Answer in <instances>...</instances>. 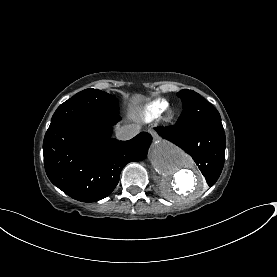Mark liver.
<instances>
[{"mask_svg": "<svg viewBox=\"0 0 277 277\" xmlns=\"http://www.w3.org/2000/svg\"><path fill=\"white\" fill-rule=\"evenodd\" d=\"M145 100V97L140 95V94H136L132 97L130 104L128 105L129 107V116L130 118H132L134 121H137L138 119L134 116V112L139 110V104Z\"/></svg>", "mask_w": 277, "mask_h": 277, "instance_id": "6515ba94", "label": "liver"}]
</instances>
